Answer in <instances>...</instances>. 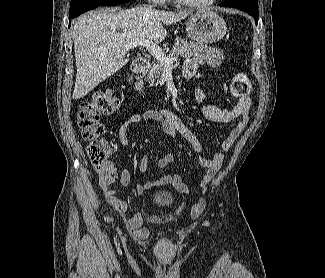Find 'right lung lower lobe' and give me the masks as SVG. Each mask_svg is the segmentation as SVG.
<instances>
[{"label": "right lung lower lobe", "mask_w": 325, "mask_h": 278, "mask_svg": "<svg viewBox=\"0 0 325 278\" xmlns=\"http://www.w3.org/2000/svg\"><path fill=\"white\" fill-rule=\"evenodd\" d=\"M130 0H72L69 10V25L71 20L80 14L94 9L97 6L115 5L117 3H126Z\"/></svg>", "instance_id": "obj_1"}]
</instances>
